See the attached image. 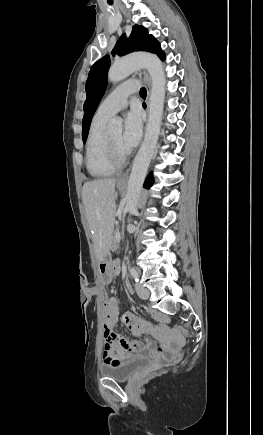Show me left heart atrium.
Segmentation results:
<instances>
[{
	"label": "left heart atrium",
	"instance_id": "left-heart-atrium-1",
	"mask_svg": "<svg viewBox=\"0 0 263 435\" xmlns=\"http://www.w3.org/2000/svg\"><path fill=\"white\" fill-rule=\"evenodd\" d=\"M142 135V119L138 111L132 110L125 117L124 132L121 145L124 152L131 151L137 146Z\"/></svg>",
	"mask_w": 263,
	"mask_h": 435
}]
</instances>
